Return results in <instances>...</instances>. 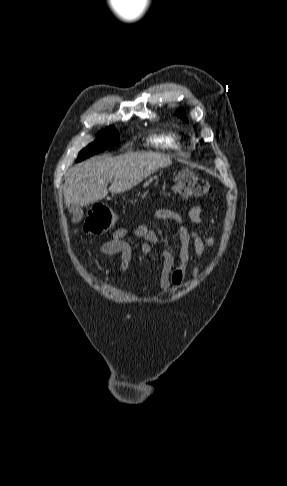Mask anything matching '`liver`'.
<instances>
[{"mask_svg":"<svg viewBox=\"0 0 287 486\" xmlns=\"http://www.w3.org/2000/svg\"><path fill=\"white\" fill-rule=\"evenodd\" d=\"M172 163L169 157L152 152L127 153L117 157H96L72 168L64 183L66 207L87 206L111 193L130 190L160 168Z\"/></svg>","mask_w":287,"mask_h":486,"instance_id":"6515ba94","label":"liver"}]
</instances>
